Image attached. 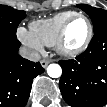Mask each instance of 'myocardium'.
Returning a JSON list of instances; mask_svg holds the SVG:
<instances>
[{
	"mask_svg": "<svg viewBox=\"0 0 107 107\" xmlns=\"http://www.w3.org/2000/svg\"><path fill=\"white\" fill-rule=\"evenodd\" d=\"M76 18H81L86 21L88 31H87V35H86L84 41L82 42V44L80 46L73 48V49H69L66 47L67 31H68V28H69L71 22ZM92 37H93V26H92L90 19L82 13H76L73 16H71L64 23L56 41H55L54 48L59 55L66 57V58H73V57L80 55L87 49L88 45L90 44V42L92 40Z\"/></svg>",
	"mask_w": 107,
	"mask_h": 107,
	"instance_id": "1",
	"label": "myocardium"
}]
</instances>
